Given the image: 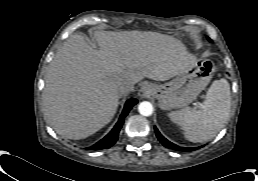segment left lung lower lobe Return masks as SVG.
<instances>
[{"label":"left lung lower lobe","mask_w":258,"mask_h":181,"mask_svg":"<svg viewBox=\"0 0 258 181\" xmlns=\"http://www.w3.org/2000/svg\"><path fill=\"white\" fill-rule=\"evenodd\" d=\"M155 132H156V136L158 138V140L166 147V148H170L173 150H183V151H191V150H195L196 148H181L173 143H171L170 141H168L166 138H164L160 132L158 131V129L155 127Z\"/></svg>","instance_id":"obj_1"}]
</instances>
